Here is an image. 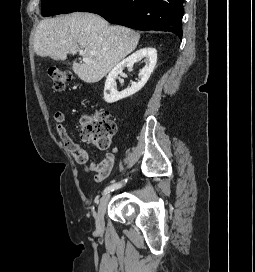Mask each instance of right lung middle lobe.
I'll return each mask as SVG.
<instances>
[{
  "instance_id": "right-lung-middle-lobe-1",
  "label": "right lung middle lobe",
  "mask_w": 255,
  "mask_h": 272,
  "mask_svg": "<svg viewBox=\"0 0 255 272\" xmlns=\"http://www.w3.org/2000/svg\"><path fill=\"white\" fill-rule=\"evenodd\" d=\"M92 0H42L41 13L43 16L76 12Z\"/></svg>"
}]
</instances>
